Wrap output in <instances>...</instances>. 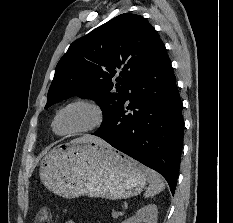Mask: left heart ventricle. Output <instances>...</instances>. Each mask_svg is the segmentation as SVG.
<instances>
[{
  "mask_svg": "<svg viewBox=\"0 0 233 223\" xmlns=\"http://www.w3.org/2000/svg\"><path fill=\"white\" fill-rule=\"evenodd\" d=\"M97 114L89 106L73 105L66 108L58 117L56 129L59 133H72L93 127Z\"/></svg>",
  "mask_w": 233,
  "mask_h": 223,
  "instance_id": "obj_1",
  "label": "left heart ventricle"
}]
</instances>
